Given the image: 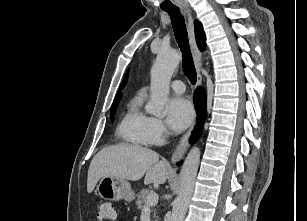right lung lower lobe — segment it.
<instances>
[{
	"mask_svg": "<svg viewBox=\"0 0 307 221\" xmlns=\"http://www.w3.org/2000/svg\"><path fill=\"white\" fill-rule=\"evenodd\" d=\"M194 101L197 109L198 120L197 127L191 137V142H195L200 136L206 114V96L202 88H197Z\"/></svg>",
	"mask_w": 307,
	"mask_h": 221,
	"instance_id": "obj_1",
	"label": "right lung lower lobe"
}]
</instances>
